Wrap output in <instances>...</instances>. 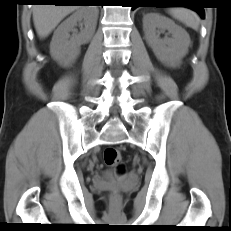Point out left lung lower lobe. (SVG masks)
I'll return each mask as SVG.
<instances>
[{"label": "left lung lower lobe", "instance_id": "left-lung-lower-lobe-1", "mask_svg": "<svg viewBox=\"0 0 231 231\" xmlns=\"http://www.w3.org/2000/svg\"><path fill=\"white\" fill-rule=\"evenodd\" d=\"M160 1H164V0H133L134 5L132 6V9L134 10L137 7H157L156 4H158V2ZM186 3H190L193 6H186L189 7L193 10H195L200 16L201 18L204 19V9L203 7H195V5H197V2H186Z\"/></svg>", "mask_w": 231, "mask_h": 231}]
</instances>
